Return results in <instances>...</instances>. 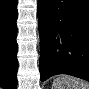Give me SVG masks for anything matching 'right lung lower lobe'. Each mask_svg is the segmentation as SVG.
I'll return each mask as SVG.
<instances>
[{
	"label": "right lung lower lobe",
	"mask_w": 89,
	"mask_h": 89,
	"mask_svg": "<svg viewBox=\"0 0 89 89\" xmlns=\"http://www.w3.org/2000/svg\"><path fill=\"white\" fill-rule=\"evenodd\" d=\"M17 0L0 2V84L17 89Z\"/></svg>",
	"instance_id": "98d812e1"
}]
</instances>
